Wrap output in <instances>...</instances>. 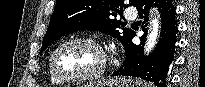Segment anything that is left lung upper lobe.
<instances>
[{
	"label": "left lung upper lobe",
	"instance_id": "obj_1",
	"mask_svg": "<svg viewBox=\"0 0 205 87\" xmlns=\"http://www.w3.org/2000/svg\"><path fill=\"white\" fill-rule=\"evenodd\" d=\"M138 2L129 0L125 4L124 0H56L41 52L63 35L79 30L102 31L118 38L125 47L135 32L127 28L120 32L118 29L123 25L116 17L123 8L136 6Z\"/></svg>",
	"mask_w": 205,
	"mask_h": 87
}]
</instances>
